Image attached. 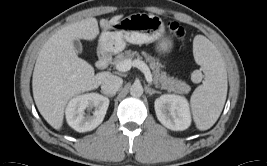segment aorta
Segmentation results:
<instances>
[{
  "mask_svg": "<svg viewBox=\"0 0 267 166\" xmlns=\"http://www.w3.org/2000/svg\"><path fill=\"white\" fill-rule=\"evenodd\" d=\"M130 94L134 97H140L143 94L142 85L134 83L130 88Z\"/></svg>",
  "mask_w": 267,
  "mask_h": 166,
  "instance_id": "762f6f07",
  "label": "aorta"
}]
</instances>
